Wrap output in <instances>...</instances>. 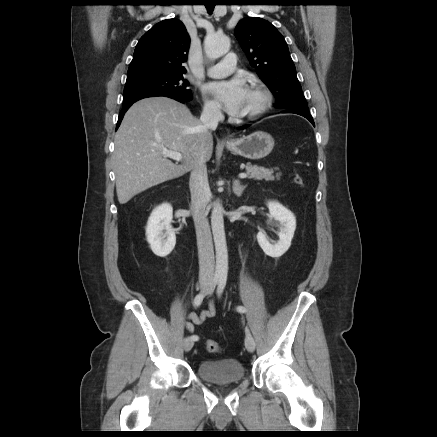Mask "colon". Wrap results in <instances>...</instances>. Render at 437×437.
<instances>
[{
  "label": "colon",
  "instance_id": "obj_1",
  "mask_svg": "<svg viewBox=\"0 0 437 437\" xmlns=\"http://www.w3.org/2000/svg\"><path fill=\"white\" fill-rule=\"evenodd\" d=\"M294 181L297 185L303 186V179L299 174H295ZM205 347L209 353H217L220 351L219 344L214 340L206 341Z\"/></svg>",
  "mask_w": 437,
  "mask_h": 437
}]
</instances>
